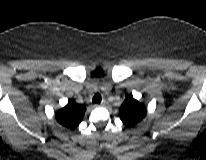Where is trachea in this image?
I'll use <instances>...</instances> for the list:
<instances>
[{
  "label": "trachea",
  "instance_id": "3493384b",
  "mask_svg": "<svg viewBox=\"0 0 206 160\" xmlns=\"http://www.w3.org/2000/svg\"><path fill=\"white\" fill-rule=\"evenodd\" d=\"M101 100H102L101 95L99 93H97V94L94 95V97L92 99V102L99 104V103H101Z\"/></svg>",
  "mask_w": 206,
  "mask_h": 160
}]
</instances>
